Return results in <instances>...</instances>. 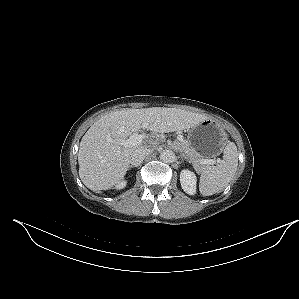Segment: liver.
Listing matches in <instances>:
<instances>
[{
    "instance_id": "obj_1",
    "label": "liver",
    "mask_w": 299,
    "mask_h": 299,
    "mask_svg": "<svg viewBox=\"0 0 299 299\" xmlns=\"http://www.w3.org/2000/svg\"><path fill=\"white\" fill-rule=\"evenodd\" d=\"M206 119V115L162 107L122 109L105 114L82 137L78 152L79 177L90 190L110 189L123 180L131 154L139 147L148 146L145 140L135 146H123L122 142L129 136L141 128L154 133L181 131ZM146 138L145 135L143 139Z\"/></svg>"
}]
</instances>
